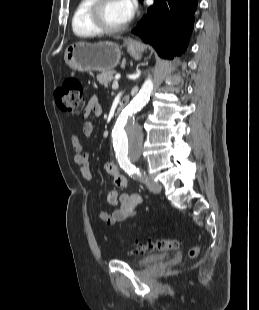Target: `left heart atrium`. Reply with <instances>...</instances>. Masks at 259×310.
I'll return each mask as SVG.
<instances>
[{
    "label": "left heart atrium",
    "mask_w": 259,
    "mask_h": 310,
    "mask_svg": "<svg viewBox=\"0 0 259 310\" xmlns=\"http://www.w3.org/2000/svg\"><path fill=\"white\" fill-rule=\"evenodd\" d=\"M123 12H124V16H125V20L129 21L133 18L135 12H136V2L135 0H119Z\"/></svg>",
    "instance_id": "left-heart-atrium-1"
}]
</instances>
